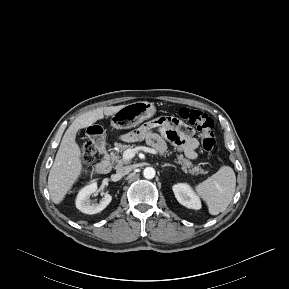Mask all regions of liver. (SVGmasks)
<instances>
[{
  "mask_svg": "<svg viewBox=\"0 0 289 289\" xmlns=\"http://www.w3.org/2000/svg\"><path fill=\"white\" fill-rule=\"evenodd\" d=\"M125 105L97 108L78 116L66 130L48 176L51 200L60 204L68 191L88 170L82 167V153L76 143L78 130L86 128L105 116H112ZM93 170L91 174H93Z\"/></svg>",
  "mask_w": 289,
  "mask_h": 289,
  "instance_id": "liver-1",
  "label": "liver"
}]
</instances>
